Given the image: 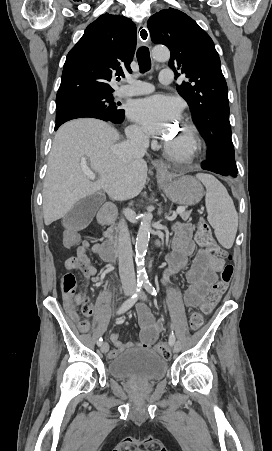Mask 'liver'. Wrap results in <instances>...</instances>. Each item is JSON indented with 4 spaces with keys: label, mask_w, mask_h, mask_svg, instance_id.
I'll use <instances>...</instances> for the list:
<instances>
[{
    "label": "liver",
    "mask_w": 272,
    "mask_h": 451,
    "mask_svg": "<svg viewBox=\"0 0 272 451\" xmlns=\"http://www.w3.org/2000/svg\"><path fill=\"white\" fill-rule=\"evenodd\" d=\"M120 136L110 124L93 118L72 120L59 128L48 158L43 186V216L46 226L64 218L73 206L98 190L113 200H130L142 192L147 164L133 158L123 164L116 142ZM88 158L99 180L91 182L83 174L81 160Z\"/></svg>",
    "instance_id": "1"
}]
</instances>
